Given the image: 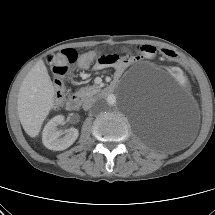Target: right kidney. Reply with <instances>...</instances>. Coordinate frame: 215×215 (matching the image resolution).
I'll list each match as a JSON object with an SVG mask.
<instances>
[{
	"instance_id": "obj_1",
	"label": "right kidney",
	"mask_w": 215,
	"mask_h": 215,
	"mask_svg": "<svg viewBox=\"0 0 215 215\" xmlns=\"http://www.w3.org/2000/svg\"><path fill=\"white\" fill-rule=\"evenodd\" d=\"M64 121L63 115H57L46 124L42 133V142L46 148L62 151L70 147L78 138L79 132L75 128H70L65 132L58 130L57 126L63 124ZM64 133L65 135L62 136Z\"/></svg>"
}]
</instances>
